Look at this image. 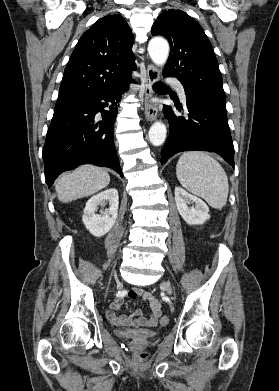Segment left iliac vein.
<instances>
[{
  "mask_svg": "<svg viewBox=\"0 0 279 391\" xmlns=\"http://www.w3.org/2000/svg\"><path fill=\"white\" fill-rule=\"evenodd\" d=\"M161 286L167 291L168 294L171 295L173 293L172 287L168 282H162Z\"/></svg>",
  "mask_w": 279,
  "mask_h": 391,
  "instance_id": "obj_1",
  "label": "left iliac vein"
}]
</instances>
